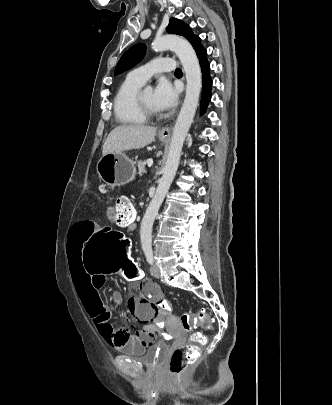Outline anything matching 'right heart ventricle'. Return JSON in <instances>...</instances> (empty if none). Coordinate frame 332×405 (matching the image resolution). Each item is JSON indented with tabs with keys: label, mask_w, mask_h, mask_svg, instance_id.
Returning a JSON list of instances; mask_svg holds the SVG:
<instances>
[{
	"label": "right heart ventricle",
	"mask_w": 332,
	"mask_h": 405,
	"mask_svg": "<svg viewBox=\"0 0 332 405\" xmlns=\"http://www.w3.org/2000/svg\"><path fill=\"white\" fill-rule=\"evenodd\" d=\"M142 85V83L127 77L118 88L113 106L115 118L120 124L140 125L147 121L140 112L136 101L137 94Z\"/></svg>",
	"instance_id": "obj_1"
}]
</instances>
